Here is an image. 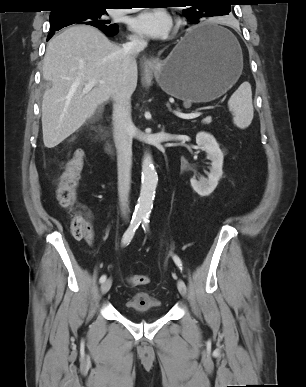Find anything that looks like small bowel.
Returning a JSON list of instances; mask_svg holds the SVG:
<instances>
[{
  "label": "small bowel",
  "mask_w": 306,
  "mask_h": 387,
  "mask_svg": "<svg viewBox=\"0 0 306 387\" xmlns=\"http://www.w3.org/2000/svg\"><path fill=\"white\" fill-rule=\"evenodd\" d=\"M84 240L91 245L93 243V232L89 230L88 234L84 237Z\"/></svg>",
  "instance_id": "small-bowel-1"
}]
</instances>
